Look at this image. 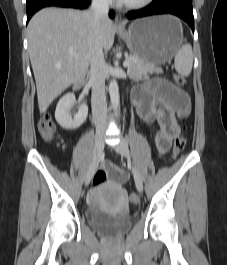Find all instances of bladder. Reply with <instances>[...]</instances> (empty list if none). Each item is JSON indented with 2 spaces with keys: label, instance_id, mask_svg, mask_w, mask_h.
Segmentation results:
<instances>
[{
  "label": "bladder",
  "instance_id": "bladder-1",
  "mask_svg": "<svg viewBox=\"0 0 227 265\" xmlns=\"http://www.w3.org/2000/svg\"><path fill=\"white\" fill-rule=\"evenodd\" d=\"M89 226L98 234L109 237L119 238L125 235L132 227L130 216L112 217L100 212H90Z\"/></svg>",
  "mask_w": 227,
  "mask_h": 265
}]
</instances>
